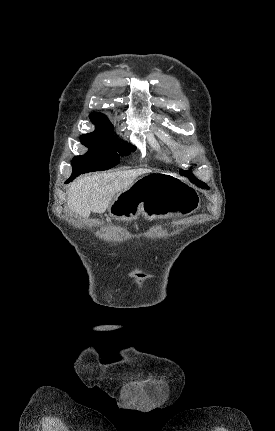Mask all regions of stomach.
Here are the masks:
<instances>
[{
	"mask_svg": "<svg viewBox=\"0 0 275 431\" xmlns=\"http://www.w3.org/2000/svg\"><path fill=\"white\" fill-rule=\"evenodd\" d=\"M199 207L200 196L190 184L168 173L154 172L117 194L108 211L116 220L129 222L140 214L148 219L187 216Z\"/></svg>",
	"mask_w": 275,
	"mask_h": 431,
	"instance_id": "0dacf381",
	"label": "stomach"
}]
</instances>
